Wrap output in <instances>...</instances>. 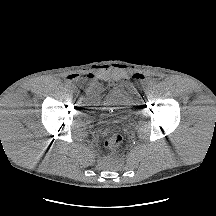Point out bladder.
I'll use <instances>...</instances> for the list:
<instances>
[{
	"mask_svg": "<svg viewBox=\"0 0 216 216\" xmlns=\"http://www.w3.org/2000/svg\"><path fill=\"white\" fill-rule=\"evenodd\" d=\"M84 100L91 106L93 117L99 121L121 119L133 108V100L128 94L114 91L108 86L97 88L93 95L90 89L87 90Z\"/></svg>",
	"mask_w": 216,
	"mask_h": 216,
	"instance_id": "obj_1",
	"label": "bladder"
}]
</instances>
